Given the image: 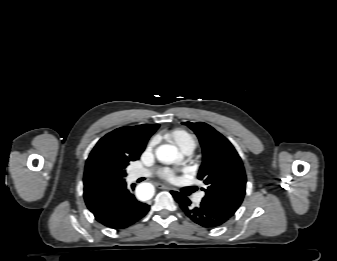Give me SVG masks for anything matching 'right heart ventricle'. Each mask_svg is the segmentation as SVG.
<instances>
[{"label": "right heart ventricle", "instance_id": "right-heart-ventricle-1", "mask_svg": "<svg viewBox=\"0 0 337 261\" xmlns=\"http://www.w3.org/2000/svg\"><path fill=\"white\" fill-rule=\"evenodd\" d=\"M169 139L176 143L183 151L186 148H195V138L184 129H174L168 133Z\"/></svg>", "mask_w": 337, "mask_h": 261}]
</instances>
